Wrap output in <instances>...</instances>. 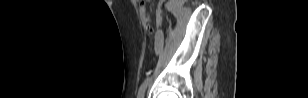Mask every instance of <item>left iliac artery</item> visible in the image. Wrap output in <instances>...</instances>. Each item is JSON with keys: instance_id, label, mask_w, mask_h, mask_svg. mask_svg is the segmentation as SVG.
I'll list each match as a JSON object with an SVG mask.
<instances>
[{"instance_id": "1", "label": "left iliac artery", "mask_w": 308, "mask_h": 98, "mask_svg": "<svg viewBox=\"0 0 308 98\" xmlns=\"http://www.w3.org/2000/svg\"><path fill=\"white\" fill-rule=\"evenodd\" d=\"M158 29L160 30L159 33H156L155 34V40H156V52L159 54L161 52V48H162V42H163V37L162 35L164 34V29H165V26L163 24H160L158 26ZM150 82V77L146 78L144 80V82L141 84L140 88H139V91H138V98H143L144 97V94H145V90L148 86Z\"/></svg>"}]
</instances>
